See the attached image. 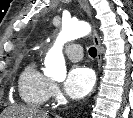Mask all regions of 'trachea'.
Returning a JSON list of instances; mask_svg holds the SVG:
<instances>
[{"label":"trachea","mask_w":133,"mask_h":118,"mask_svg":"<svg viewBox=\"0 0 133 118\" xmlns=\"http://www.w3.org/2000/svg\"><path fill=\"white\" fill-rule=\"evenodd\" d=\"M89 55H90L91 57H93V58L96 57V55H97V50H96L95 47H91V48L89 49Z\"/></svg>","instance_id":"trachea-1"}]
</instances>
